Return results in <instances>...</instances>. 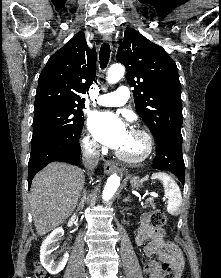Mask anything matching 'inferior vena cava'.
I'll return each instance as SVG.
<instances>
[{"mask_svg":"<svg viewBox=\"0 0 221 278\" xmlns=\"http://www.w3.org/2000/svg\"><path fill=\"white\" fill-rule=\"evenodd\" d=\"M100 152L97 149L86 150L83 153V164L88 170H93L99 162Z\"/></svg>","mask_w":221,"mask_h":278,"instance_id":"602c4592","label":"inferior vena cava"}]
</instances>
